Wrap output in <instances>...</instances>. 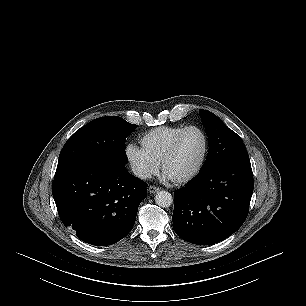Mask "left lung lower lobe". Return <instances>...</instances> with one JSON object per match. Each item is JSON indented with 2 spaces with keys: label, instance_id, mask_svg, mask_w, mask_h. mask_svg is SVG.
I'll list each match as a JSON object with an SVG mask.
<instances>
[{
  "label": "left lung lower lobe",
  "instance_id": "left-lung-lower-lobe-1",
  "mask_svg": "<svg viewBox=\"0 0 306 306\" xmlns=\"http://www.w3.org/2000/svg\"><path fill=\"white\" fill-rule=\"evenodd\" d=\"M249 159L216 164L174 193L173 229L199 245L220 242L246 220L253 193Z\"/></svg>",
  "mask_w": 306,
  "mask_h": 306
}]
</instances>
